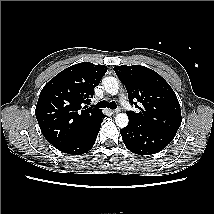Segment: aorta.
I'll return each mask as SVG.
<instances>
[{
    "instance_id": "762f6f07",
    "label": "aorta",
    "mask_w": 214,
    "mask_h": 214,
    "mask_svg": "<svg viewBox=\"0 0 214 214\" xmlns=\"http://www.w3.org/2000/svg\"><path fill=\"white\" fill-rule=\"evenodd\" d=\"M102 85L105 88L106 92L111 95H117L119 91V82L115 77H104L102 79ZM116 125L120 128H124L128 125L129 119L127 114L119 113L115 117Z\"/></svg>"
}]
</instances>
